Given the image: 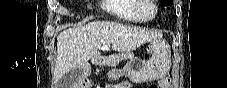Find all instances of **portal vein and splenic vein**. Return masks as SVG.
I'll use <instances>...</instances> for the list:
<instances>
[{"label":"portal vein and splenic vein","mask_w":227,"mask_h":88,"mask_svg":"<svg viewBox=\"0 0 227 88\" xmlns=\"http://www.w3.org/2000/svg\"><path fill=\"white\" fill-rule=\"evenodd\" d=\"M103 48H107V46L106 45H104V47Z\"/></svg>","instance_id":"1"}]
</instances>
